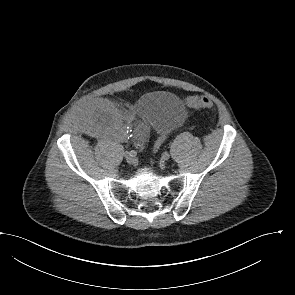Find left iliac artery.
<instances>
[{
	"label": "left iliac artery",
	"instance_id": "obj_1",
	"mask_svg": "<svg viewBox=\"0 0 295 295\" xmlns=\"http://www.w3.org/2000/svg\"><path fill=\"white\" fill-rule=\"evenodd\" d=\"M166 154H168L167 152L163 153V156H165Z\"/></svg>",
	"mask_w": 295,
	"mask_h": 295
}]
</instances>
